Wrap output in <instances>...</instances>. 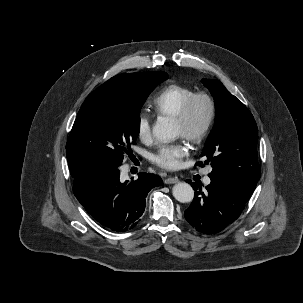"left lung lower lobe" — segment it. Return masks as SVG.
Returning <instances> with one entry per match:
<instances>
[{
  "label": "left lung lower lobe",
  "mask_w": 303,
  "mask_h": 303,
  "mask_svg": "<svg viewBox=\"0 0 303 303\" xmlns=\"http://www.w3.org/2000/svg\"><path fill=\"white\" fill-rule=\"evenodd\" d=\"M211 183L205 192L201 185L190 180L195 191L191 205L185 210V219L196 230L212 234L220 232L240 216L251 190L218 174H209Z\"/></svg>",
  "instance_id": "left-lung-lower-lobe-1"
}]
</instances>
